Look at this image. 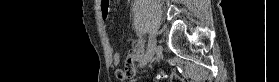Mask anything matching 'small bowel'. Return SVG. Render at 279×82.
I'll list each match as a JSON object with an SVG mask.
<instances>
[{
	"label": "small bowel",
	"instance_id": "obj_1",
	"mask_svg": "<svg viewBox=\"0 0 279 82\" xmlns=\"http://www.w3.org/2000/svg\"><path fill=\"white\" fill-rule=\"evenodd\" d=\"M98 6L102 13L103 18L107 19L109 16V11H110V1L109 0H99ZM107 48L109 51H112V47L110 44L107 45ZM142 49H143V47L140 43H134L131 45V47L128 50V54H127V57L125 60V63H126L125 68L118 69L116 71V75H117L118 79L125 80L129 76H131V74L135 73L136 64L140 58ZM120 61H121L120 53L111 52V62L113 63V65H115V66L119 65Z\"/></svg>",
	"mask_w": 279,
	"mask_h": 82
}]
</instances>
